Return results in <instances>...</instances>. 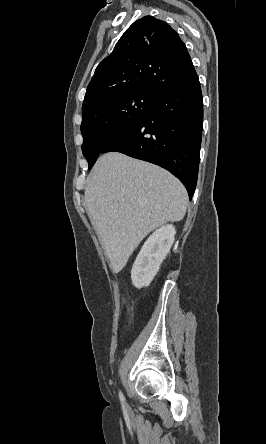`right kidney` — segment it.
Returning a JSON list of instances; mask_svg holds the SVG:
<instances>
[{
  "mask_svg": "<svg viewBox=\"0 0 266 444\" xmlns=\"http://www.w3.org/2000/svg\"><path fill=\"white\" fill-rule=\"evenodd\" d=\"M175 234L173 225H165L149 236L131 270L132 283L136 288L146 287L152 282L174 243Z\"/></svg>",
  "mask_w": 266,
  "mask_h": 444,
  "instance_id": "1",
  "label": "right kidney"
}]
</instances>
